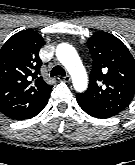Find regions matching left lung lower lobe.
I'll return each mask as SVG.
<instances>
[{"mask_svg":"<svg viewBox=\"0 0 135 165\" xmlns=\"http://www.w3.org/2000/svg\"><path fill=\"white\" fill-rule=\"evenodd\" d=\"M78 101V100H77ZM78 104L80 105V107L90 116L92 117H96V118H108V117H112L110 115H108L107 113L103 112L100 109L97 108H93L91 106L82 104L81 102L78 101Z\"/></svg>","mask_w":135,"mask_h":165,"instance_id":"1","label":"left lung lower lobe"}]
</instances>
